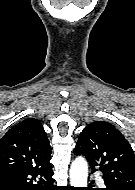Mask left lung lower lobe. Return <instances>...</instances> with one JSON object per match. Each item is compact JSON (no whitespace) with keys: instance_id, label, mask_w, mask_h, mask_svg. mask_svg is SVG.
<instances>
[{"instance_id":"obj_1","label":"left lung lower lobe","mask_w":135,"mask_h":190,"mask_svg":"<svg viewBox=\"0 0 135 190\" xmlns=\"http://www.w3.org/2000/svg\"><path fill=\"white\" fill-rule=\"evenodd\" d=\"M95 172V169H92V173ZM105 182V181H104ZM106 188L103 190H116L113 186L109 185L108 183L105 182Z\"/></svg>"}]
</instances>
